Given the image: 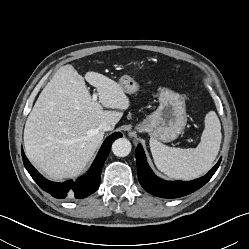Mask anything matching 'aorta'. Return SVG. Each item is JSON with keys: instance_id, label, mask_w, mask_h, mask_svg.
<instances>
[{"instance_id": "1", "label": "aorta", "mask_w": 249, "mask_h": 249, "mask_svg": "<svg viewBox=\"0 0 249 249\" xmlns=\"http://www.w3.org/2000/svg\"><path fill=\"white\" fill-rule=\"evenodd\" d=\"M131 143L126 138H118L112 144V152L117 157H126L131 152Z\"/></svg>"}]
</instances>
